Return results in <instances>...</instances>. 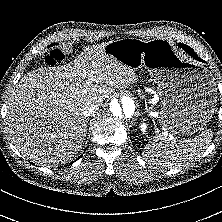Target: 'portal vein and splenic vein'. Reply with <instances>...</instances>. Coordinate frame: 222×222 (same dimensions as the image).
I'll return each mask as SVG.
<instances>
[{
	"instance_id": "obj_1",
	"label": "portal vein and splenic vein",
	"mask_w": 222,
	"mask_h": 222,
	"mask_svg": "<svg viewBox=\"0 0 222 222\" xmlns=\"http://www.w3.org/2000/svg\"><path fill=\"white\" fill-rule=\"evenodd\" d=\"M163 136H165L167 138L168 141H170L173 145L176 142V139L174 137V135L168 131H166L165 129H163L162 131Z\"/></svg>"
}]
</instances>
